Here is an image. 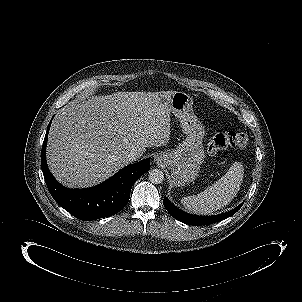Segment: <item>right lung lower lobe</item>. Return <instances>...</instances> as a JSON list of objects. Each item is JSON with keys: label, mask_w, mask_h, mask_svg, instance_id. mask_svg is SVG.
<instances>
[{"label": "right lung lower lobe", "mask_w": 302, "mask_h": 302, "mask_svg": "<svg viewBox=\"0 0 302 302\" xmlns=\"http://www.w3.org/2000/svg\"><path fill=\"white\" fill-rule=\"evenodd\" d=\"M51 121L44 138L41 166L48 190L55 201L80 220L112 216L124 208L136 180L150 169V160L128 165L109 180L92 188L69 189L55 180L46 162V145Z\"/></svg>", "instance_id": "98d812e1"}]
</instances>
